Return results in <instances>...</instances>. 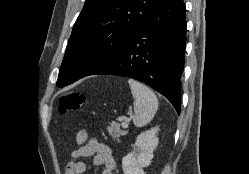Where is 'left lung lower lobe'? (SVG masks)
Returning a JSON list of instances; mask_svg holds the SVG:
<instances>
[{
	"label": "left lung lower lobe",
	"instance_id": "0a47b994",
	"mask_svg": "<svg viewBox=\"0 0 249 174\" xmlns=\"http://www.w3.org/2000/svg\"><path fill=\"white\" fill-rule=\"evenodd\" d=\"M186 7L183 0H161L125 50L96 74L130 77L164 95L180 114Z\"/></svg>",
	"mask_w": 249,
	"mask_h": 174
}]
</instances>
